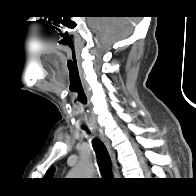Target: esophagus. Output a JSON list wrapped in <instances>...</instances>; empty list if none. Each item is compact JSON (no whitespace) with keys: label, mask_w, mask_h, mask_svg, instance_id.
I'll return each mask as SVG.
<instances>
[{"label":"esophagus","mask_w":196,"mask_h":196,"mask_svg":"<svg viewBox=\"0 0 196 196\" xmlns=\"http://www.w3.org/2000/svg\"><path fill=\"white\" fill-rule=\"evenodd\" d=\"M95 130H97L102 138V140L105 142V144L107 145V148L109 150V153H110V156L112 158V163H113V171H114V175L115 177H119L120 174H119V169H118V166H117V163H116V160H115V153H114V150L112 149L111 145H110V142L108 140V138L106 137V135L104 134V132L98 127V126H95L94 127Z\"/></svg>","instance_id":"esophagus-1"}]
</instances>
